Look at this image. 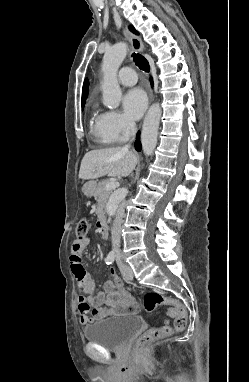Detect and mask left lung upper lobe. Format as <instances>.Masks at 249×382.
<instances>
[{
	"instance_id": "left-lung-upper-lobe-1",
	"label": "left lung upper lobe",
	"mask_w": 249,
	"mask_h": 382,
	"mask_svg": "<svg viewBox=\"0 0 249 382\" xmlns=\"http://www.w3.org/2000/svg\"><path fill=\"white\" fill-rule=\"evenodd\" d=\"M130 30H131L132 32H134V33H136V34H137V31L134 29V27H133V26H131V27H130Z\"/></svg>"
}]
</instances>
